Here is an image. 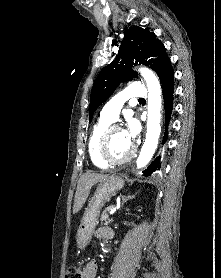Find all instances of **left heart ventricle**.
<instances>
[{
	"mask_svg": "<svg viewBox=\"0 0 221 278\" xmlns=\"http://www.w3.org/2000/svg\"><path fill=\"white\" fill-rule=\"evenodd\" d=\"M132 145L126 140L124 131L115 130L109 142L108 153L113 159H122L129 154Z\"/></svg>",
	"mask_w": 221,
	"mask_h": 278,
	"instance_id": "obj_1",
	"label": "left heart ventricle"
}]
</instances>
